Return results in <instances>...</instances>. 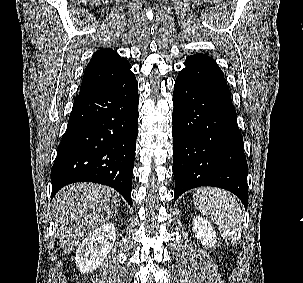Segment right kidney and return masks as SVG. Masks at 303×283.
Wrapping results in <instances>:
<instances>
[{
    "instance_id": "ca27d5eb",
    "label": "right kidney",
    "mask_w": 303,
    "mask_h": 283,
    "mask_svg": "<svg viewBox=\"0 0 303 283\" xmlns=\"http://www.w3.org/2000/svg\"><path fill=\"white\" fill-rule=\"evenodd\" d=\"M116 239L114 224H104L91 232L79 245L75 263L82 273H89L100 266Z\"/></svg>"
}]
</instances>
